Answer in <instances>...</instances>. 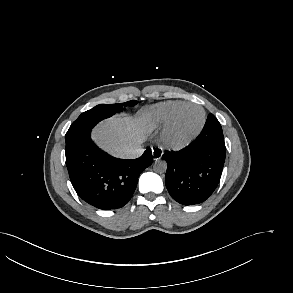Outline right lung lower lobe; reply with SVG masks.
<instances>
[{
    "label": "right lung lower lobe",
    "mask_w": 293,
    "mask_h": 293,
    "mask_svg": "<svg viewBox=\"0 0 293 293\" xmlns=\"http://www.w3.org/2000/svg\"><path fill=\"white\" fill-rule=\"evenodd\" d=\"M93 127H85L66 140V165L77 194L103 210L123 207L131 199L140 173L152 164L151 149L132 160L117 159L91 140Z\"/></svg>",
    "instance_id": "right-lung-lower-lobe-1"
}]
</instances>
